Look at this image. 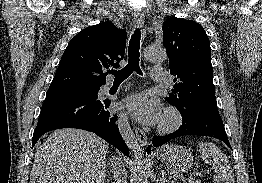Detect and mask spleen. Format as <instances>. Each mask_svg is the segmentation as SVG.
<instances>
[{
  "label": "spleen",
  "mask_w": 262,
  "mask_h": 183,
  "mask_svg": "<svg viewBox=\"0 0 262 183\" xmlns=\"http://www.w3.org/2000/svg\"><path fill=\"white\" fill-rule=\"evenodd\" d=\"M203 161L215 169L214 180L217 183H234V173L227 156L211 142H199Z\"/></svg>",
  "instance_id": "3e777b00"
}]
</instances>
